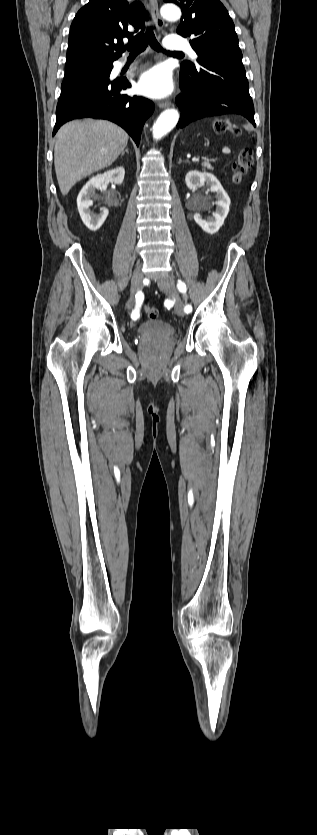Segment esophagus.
Here are the masks:
<instances>
[{
    "label": "esophagus",
    "instance_id": "obj_1",
    "mask_svg": "<svg viewBox=\"0 0 317 835\" xmlns=\"http://www.w3.org/2000/svg\"><path fill=\"white\" fill-rule=\"evenodd\" d=\"M149 1H150V5H151V12H152L153 19H154L157 27L159 29H162L165 25V22L160 16L158 1L157 0H149ZM158 105H159V108H162V109L163 108H168V107L171 106V102L168 101V100L167 101H162V102H159Z\"/></svg>",
    "mask_w": 317,
    "mask_h": 835
}]
</instances>
